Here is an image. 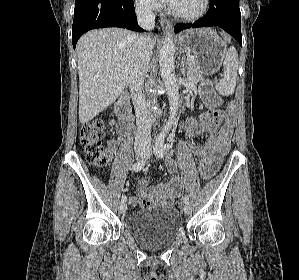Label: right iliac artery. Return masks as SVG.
<instances>
[{"instance_id": "82829eb1", "label": "right iliac artery", "mask_w": 299, "mask_h": 280, "mask_svg": "<svg viewBox=\"0 0 299 280\" xmlns=\"http://www.w3.org/2000/svg\"><path fill=\"white\" fill-rule=\"evenodd\" d=\"M145 163H146L145 159H141V160L137 161L136 163H134L132 165V170L135 172L140 171L145 166ZM126 200H127V197L125 195H122L121 201L126 202Z\"/></svg>"}]
</instances>
